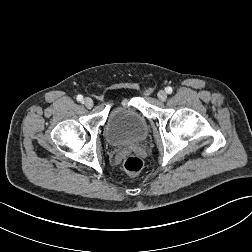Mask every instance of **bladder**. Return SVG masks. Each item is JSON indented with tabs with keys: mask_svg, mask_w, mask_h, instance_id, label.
<instances>
[{
	"mask_svg": "<svg viewBox=\"0 0 252 252\" xmlns=\"http://www.w3.org/2000/svg\"><path fill=\"white\" fill-rule=\"evenodd\" d=\"M147 134L148 123L140 112L122 104L111 107L105 124V137L111 145L138 143Z\"/></svg>",
	"mask_w": 252,
	"mask_h": 252,
	"instance_id": "31cf9c89",
	"label": "bladder"
}]
</instances>
